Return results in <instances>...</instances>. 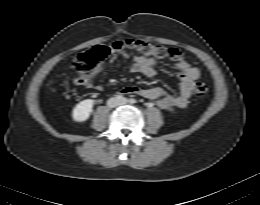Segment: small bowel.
Instances as JSON below:
<instances>
[{
    "mask_svg": "<svg viewBox=\"0 0 260 205\" xmlns=\"http://www.w3.org/2000/svg\"><path fill=\"white\" fill-rule=\"evenodd\" d=\"M117 59L118 54L116 50H113L110 63H115ZM157 67L158 62L156 59L138 55L134 58L130 69L132 72L141 73L147 77H153L157 73ZM175 67L178 70V78L180 80L179 91L176 94L168 93L158 87L143 88L140 86H126L118 91V95H138L150 100H155L157 106L165 110L171 108H185L188 105L194 83L200 77V70L183 59L176 62ZM102 70L103 67L98 65L90 73H80L74 78V83L78 86L95 88L96 90L101 91L102 87L95 85V82Z\"/></svg>",
    "mask_w": 260,
    "mask_h": 205,
    "instance_id": "small-bowel-1",
    "label": "small bowel"
}]
</instances>
